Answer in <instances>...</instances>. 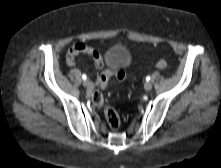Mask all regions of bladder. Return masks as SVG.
<instances>
[{
  "label": "bladder",
  "mask_w": 221,
  "mask_h": 168,
  "mask_svg": "<svg viewBox=\"0 0 221 168\" xmlns=\"http://www.w3.org/2000/svg\"><path fill=\"white\" fill-rule=\"evenodd\" d=\"M106 60L112 68L118 70L129 65L131 55L125 46L114 45L107 50Z\"/></svg>",
  "instance_id": "1"
}]
</instances>
